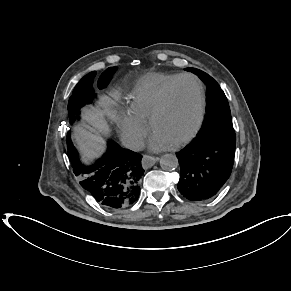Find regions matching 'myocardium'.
<instances>
[{
  "instance_id": "obj_1",
  "label": "myocardium",
  "mask_w": 291,
  "mask_h": 291,
  "mask_svg": "<svg viewBox=\"0 0 291 291\" xmlns=\"http://www.w3.org/2000/svg\"><path fill=\"white\" fill-rule=\"evenodd\" d=\"M188 79L194 81L198 88L199 100H198L197 120L192 130L186 136H184L183 138L171 144L173 148H178L190 142L197 135V133L200 131L202 127L204 117H205V110H206V96H205V90H204V86L202 82L196 76L191 75V74H183L177 77V79L167 87V89L163 93L160 103L153 110V112L150 114L149 119H148L150 129L153 131L155 121L168 108L170 104L171 96L173 92L175 91V89L178 87V85L182 81L188 80Z\"/></svg>"
}]
</instances>
